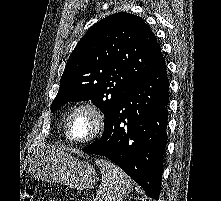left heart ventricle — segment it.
<instances>
[{"mask_svg":"<svg viewBox=\"0 0 221 201\" xmlns=\"http://www.w3.org/2000/svg\"><path fill=\"white\" fill-rule=\"evenodd\" d=\"M94 129V120L87 113L76 114L71 122V134L74 138L82 139L88 137Z\"/></svg>","mask_w":221,"mask_h":201,"instance_id":"1","label":"left heart ventricle"}]
</instances>
